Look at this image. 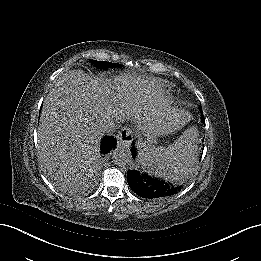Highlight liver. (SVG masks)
<instances>
[{
  "label": "liver",
  "instance_id": "liver-1",
  "mask_svg": "<svg viewBox=\"0 0 261 261\" xmlns=\"http://www.w3.org/2000/svg\"><path fill=\"white\" fill-rule=\"evenodd\" d=\"M144 110L138 94L118 80L93 78L80 70L65 74L45 98L40 116L38 160L42 169L57 185L70 183L75 174L91 172L104 126L132 117L146 131Z\"/></svg>",
  "mask_w": 261,
  "mask_h": 261
}]
</instances>
